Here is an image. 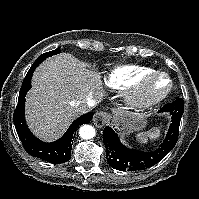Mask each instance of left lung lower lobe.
<instances>
[{"instance_id":"1","label":"left lung lower lobe","mask_w":199,"mask_h":199,"mask_svg":"<svg viewBox=\"0 0 199 199\" xmlns=\"http://www.w3.org/2000/svg\"><path fill=\"white\" fill-rule=\"evenodd\" d=\"M160 112H169L171 124L164 142L153 152H144L125 147L111 127L103 130V142L106 147L108 164L119 171L145 170L161 161L176 145L179 134L180 120L184 112V101L166 104Z\"/></svg>"}]
</instances>
